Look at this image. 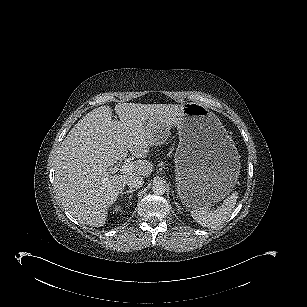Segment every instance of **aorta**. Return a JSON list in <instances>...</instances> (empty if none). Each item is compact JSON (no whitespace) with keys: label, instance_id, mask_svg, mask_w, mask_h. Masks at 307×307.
I'll use <instances>...</instances> for the list:
<instances>
[{"label":"aorta","instance_id":"aorta-1","mask_svg":"<svg viewBox=\"0 0 307 307\" xmlns=\"http://www.w3.org/2000/svg\"><path fill=\"white\" fill-rule=\"evenodd\" d=\"M152 191L156 195H162L166 192V185L162 181H154L152 184Z\"/></svg>","mask_w":307,"mask_h":307}]
</instances>
